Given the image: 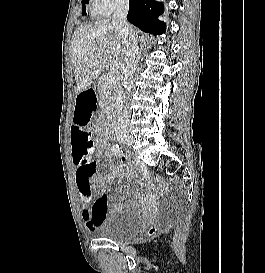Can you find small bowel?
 <instances>
[{"label":"small bowel","mask_w":265,"mask_h":273,"mask_svg":"<svg viewBox=\"0 0 265 273\" xmlns=\"http://www.w3.org/2000/svg\"><path fill=\"white\" fill-rule=\"evenodd\" d=\"M94 107L93 91H82L76 98L75 124L71 127V145L78 202L81 217L89 231H93L95 226L107 215L108 202L105 191L108 184L128 167L127 159L121 157L118 165H110L106 172L96 170V163L92 159L94 150L91 149L94 147V142L82 137V133L86 128L83 127V124H80V126L77 124L88 123ZM104 152L105 147L102 145L99 154ZM97 188H101V194L92 204L91 199ZM95 203L100 205L97 212L94 208ZM119 208L120 206L114 207L115 210Z\"/></svg>","instance_id":"c3829d8e"}]
</instances>
